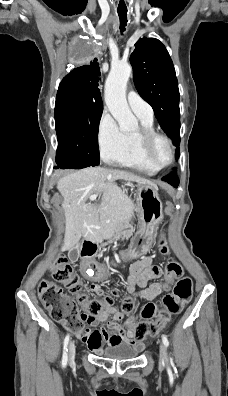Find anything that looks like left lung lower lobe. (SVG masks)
Instances as JSON below:
<instances>
[{
  "mask_svg": "<svg viewBox=\"0 0 228 396\" xmlns=\"http://www.w3.org/2000/svg\"><path fill=\"white\" fill-rule=\"evenodd\" d=\"M178 147V146H177ZM178 152H179V149H177V157H178ZM162 180L163 181H166V182H168L169 184H171L172 186H174L175 188H177V186H178V184H179V180H178V178H177V176H176V174L175 173H171V174H169V175H167V176H164L163 178H162Z\"/></svg>",
  "mask_w": 228,
  "mask_h": 396,
  "instance_id": "left-lung-lower-lobe-1",
  "label": "left lung lower lobe"
}]
</instances>
